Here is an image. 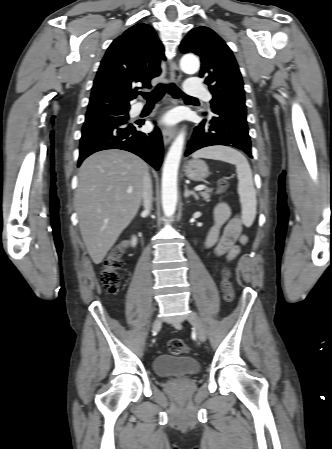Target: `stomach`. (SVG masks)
I'll return each mask as SVG.
<instances>
[{"label":"stomach","mask_w":332,"mask_h":449,"mask_svg":"<svg viewBox=\"0 0 332 449\" xmlns=\"http://www.w3.org/2000/svg\"><path fill=\"white\" fill-rule=\"evenodd\" d=\"M185 175L193 181H202L209 175L207 164L199 159H192L185 165Z\"/></svg>","instance_id":"stomach-1"}]
</instances>
